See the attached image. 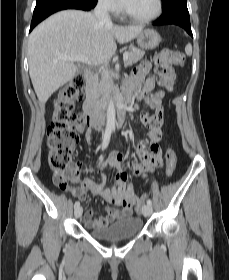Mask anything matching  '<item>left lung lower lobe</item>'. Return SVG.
Returning <instances> with one entry per match:
<instances>
[{
	"label": "left lung lower lobe",
	"mask_w": 229,
	"mask_h": 280,
	"mask_svg": "<svg viewBox=\"0 0 229 280\" xmlns=\"http://www.w3.org/2000/svg\"><path fill=\"white\" fill-rule=\"evenodd\" d=\"M153 24H175L184 28L188 34L193 36L186 0H175L171 6L163 10L162 16L158 20L154 21Z\"/></svg>",
	"instance_id": "left-lung-lower-lobe-1"
}]
</instances>
